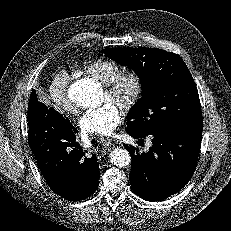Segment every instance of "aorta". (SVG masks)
Instances as JSON below:
<instances>
[{
	"instance_id": "aorta-1",
	"label": "aorta",
	"mask_w": 231,
	"mask_h": 231,
	"mask_svg": "<svg viewBox=\"0 0 231 231\" xmlns=\"http://www.w3.org/2000/svg\"><path fill=\"white\" fill-rule=\"evenodd\" d=\"M102 89L92 80L82 79L74 82L68 89V98L82 108L99 106ZM110 161L117 167H127L131 162L127 150L115 148L110 153Z\"/></svg>"
}]
</instances>
